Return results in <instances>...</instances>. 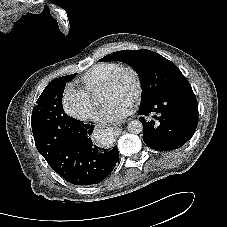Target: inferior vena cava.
Returning <instances> with one entry per match:
<instances>
[{"label":"inferior vena cava","instance_id":"1","mask_svg":"<svg viewBox=\"0 0 227 227\" xmlns=\"http://www.w3.org/2000/svg\"><path fill=\"white\" fill-rule=\"evenodd\" d=\"M87 118L95 119L96 118V113L95 112H88L86 114Z\"/></svg>","mask_w":227,"mask_h":227}]
</instances>
